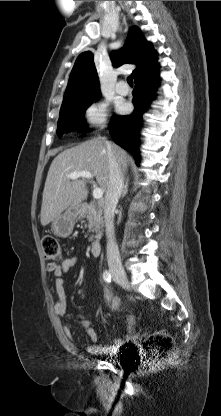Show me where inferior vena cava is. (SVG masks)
Segmentation results:
<instances>
[{
	"instance_id": "1",
	"label": "inferior vena cava",
	"mask_w": 221,
	"mask_h": 416,
	"mask_svg": "<svg viewBox=\"0 0 221 416\" xmlns=\"http://www.w3.org/2000/svg\"><path fill=\"white\" fill-rule=\"evenodd\" d=\"M109 159V186L105 195L104 218L107 236V261L109 270L122 271V263L114 232V212L123 191L124 179L120 166L112 153L111 144L106 141Z\"/></svg>"
}]
</instances>
